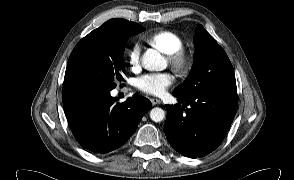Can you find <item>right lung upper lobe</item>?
<instances>
[{"instance_id":"1","label":"right lung upper lobe","mask_w":294,"mask_h":180,"mask_svg":"<svg viewBox=\"0 0 294 180\" xmlns=\"http://www.w3.org/2000/svg\"><path fill=\"white\" fill-rule=\"evenodd\" d=\"M144 28L135 22H131L125 19H111L105 22L101 27L97 28L94 31H102V30H123L128 32H133L134 34H138L142 32Z\"/></svg>"}]
</instances>
